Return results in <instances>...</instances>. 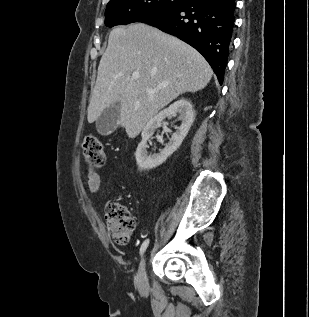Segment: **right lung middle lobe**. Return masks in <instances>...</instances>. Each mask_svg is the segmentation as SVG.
<instances>
[{
    "mask_svg": "<svg viewBox=\"0 0 309 317\" xmlns=\"http://www.w3.org/2000/svg\"><path fill=\"white\" fill-rule=\"evenodd\" d=\"M186 0H110L105 11V25L129 24L136 19L178 6Z\"/></svg>",
    "mask_w": 309,
    "mask_h": 317,
    "instance_id": "dd1d6c3e",
    "label": "right lung middle lobe"
}]
</instances>
